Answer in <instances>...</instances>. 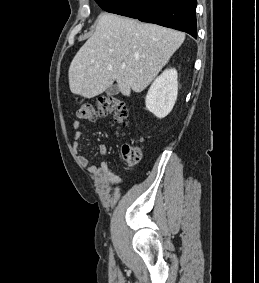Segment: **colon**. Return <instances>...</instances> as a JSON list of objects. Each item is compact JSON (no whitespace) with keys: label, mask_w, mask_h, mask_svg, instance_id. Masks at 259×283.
Returning <instances> with one entry per match:
<instances>
[{"label":"colon","mask_w":259,"mask_h":283,"mask_svg":"<svg viewBox=\"0 0 259 283\" xmlns=\"http://www.w3.org/2000/svg\"><path fill=\"white\" fill-rule=\"evenodd\" d=\"M80 119L93 121L98 117L113 116L114 124L119 129L128 126L129 108L127 104L116 96H104L99 98L94 104L84 103L77 111ZM141 144H124L121 149V156L126 166L136 165L142 156Z\"/></svg>","instance_id":"1"}]
</instances>
